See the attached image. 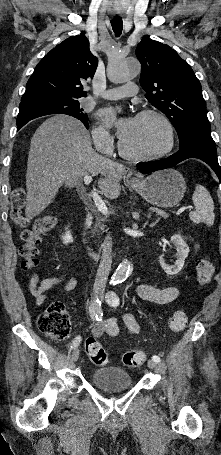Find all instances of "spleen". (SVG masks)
<instances>
[{"label":"spleen","instance_id":"3e777b00","mask_svg":"<svg viewBox=\"0 0 221 455\" xmlns=\"http://www.w3.org/2000/svg\"><path fill=\"white\" fill-rule=\"evenodd\" d=\"M195 211L189 213L190 220L195 223H205L212 226L215 220L214 202L208 190L197 184L192 196Z\"/></svg>","mask_w":221,"mask_h":455}]
</instances>
